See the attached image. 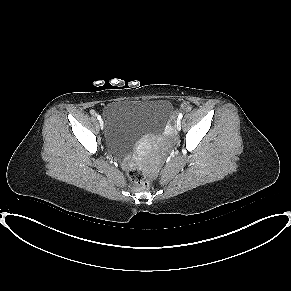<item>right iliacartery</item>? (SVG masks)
<instances>
[{"label":"right iliac artery","mask_w":291,"mask_h":291,"mask_svg":"<svg viewBox=\"0 0 291 291\" xmlns=\"http://www.w3.org/2000/svg\"><path fill=\"white\" fill-rule=\"evenodd\" d=\"M97 119H98V120H101V116H100V115H97Z\"/></svg>","instance_id":"right-iliac-artery-1"}]
</instances>
